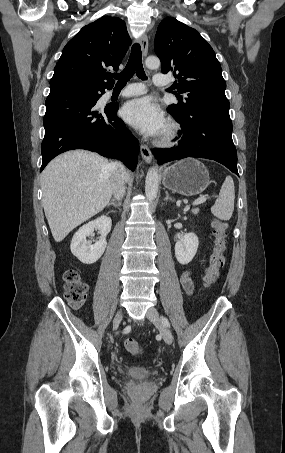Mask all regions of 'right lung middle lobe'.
<instances>
[{
    "instance_id": "1",
    "label": "right lung middle lobe",
    "mask_w": 285,
    "mask_h": 453,
    "mask_svg": "<svg viewBox=\"0 0 285 453\" xmlns=\"http://www.w3.org/2000/svg\"><path fill=\"white\" fill-rule=\"evenodd\" d=\"M97 96H98L97 93H93V95H92V97H97Z\"/></svg>"
}]
</instances>
